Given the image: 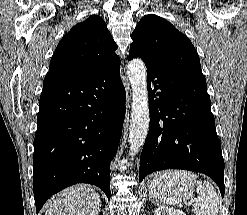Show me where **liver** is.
Returning a JSON list of instances; mask_svg holds the SVG:
<instances>
[{"label": "liver", "instance_id": "6515ba94", "mask_svg": "<svg viewBox=\"0 0 247 215\" xmlns=\"http://www.w3.org/2000/svg\"><path fill=\"white\" fill-rule=\"evenodd\" d=\"M100 195L89 185L69 187L52 198L45 207V215H98Z\"/></svg>", "mask_w": 247, "mask_h": 215}]
</instances>
